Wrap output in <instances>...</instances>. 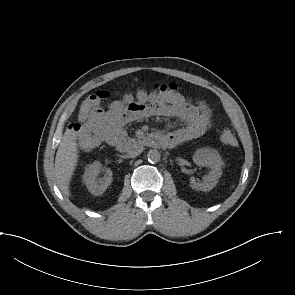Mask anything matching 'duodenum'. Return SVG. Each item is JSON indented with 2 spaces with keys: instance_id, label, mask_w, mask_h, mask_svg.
Instances as JSON below:
<instances>
[{
  "instance_id": "1",
  "label": "duodenum",
  "mask_w": 295,
  "mask_h": 295,
  "mask_svg": "<svg viewBox=\"0 0 295 295\" xmlns=\"http://www.w3.org/2000/svg\"><path fill=\"white\" fill-rule=\"evenodd\" d=\"M144 144L150 147H158L162 146L166 143V139L158 134H150L149 136L145 137L141 140ZM116 144L117 149L120 152H125L129 149L130 145L124 141H119Z\"/></svg>"
}]
</instances>
